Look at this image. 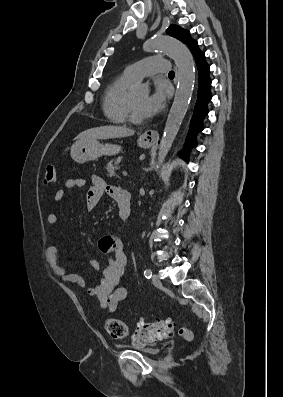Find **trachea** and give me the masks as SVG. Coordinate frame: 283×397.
<instances>
[{"instance_id":"3493384b","label":"trachea","mask_w":283,"mask_h":397,"mask_svg":"<svg viewBox=\"0 0 283 397\" xmlns=\"http://www.w3.org/2000/svg\"><path fill=\"white\" fill-rule=\"evenodd\" d=\"M174 75H175V74H174L173 71H170L169 74H168L169 77H174Z\"/></svg>"}]
</instances>
